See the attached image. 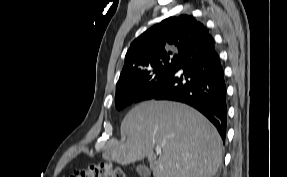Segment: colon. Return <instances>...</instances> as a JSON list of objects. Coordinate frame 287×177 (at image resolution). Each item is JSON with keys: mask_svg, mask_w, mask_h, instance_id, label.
<instances>
[{"mask_svg": "<svg viewBox=\"0 0 287 177\" xmlns=\"http://www.w3.org/2000/svg\"><path fill=\"white\" fill-rule=\"evenodd\" d=\"M71 177H125V175L111 163L96 161L87 167L75 169Z\"/></svg>", "mask_w": 287, "mask_h": 177, "instance_id": "1", "label": "colon"}]
</instances>
